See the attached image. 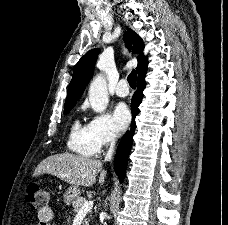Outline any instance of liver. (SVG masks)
Here are the masks:
<instances>
[{
	"label": "liver",
	"instance_id": "liver-1",
	"mask_svg": "<svg viewBox=\"0 0 228 225\" xmlns=\"http://www.w3.org/2000/svg\"><path fill=\"white\" fill-rule=\"evenodd\" d=\"M102 169L103 165L98 159H86L80 155L64 153V155H52V157L41 161L34 171V177L48 173V175H54L69 185L92 187L96 181L97 173L100 171L99 181L103 183L106 173Z\"/></svg>",
	"mask_w": 228,
	"mask_h": 225
}]
</instances>
